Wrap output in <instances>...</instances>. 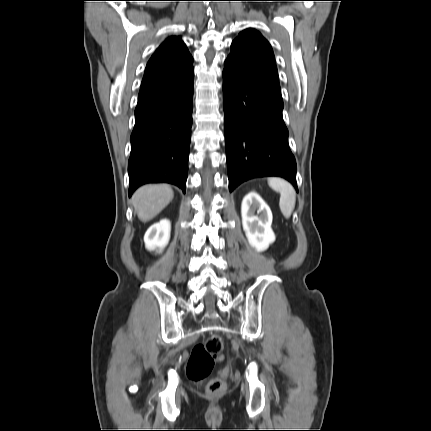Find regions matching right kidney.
Wrapping results in <instances>:
<instances>
[{"label":"right kidney","mask_w":431,"mask_h":431,"mask_svg":"<svg viewBox=\"0 0 431 431\" xmlns=\"http://www.w3.org/2000/svg\"><path fill=\"white\" fill-rule=\"evenodd\" d=\"M170 238V221L163 219L153 224L145 233L144 242L148 250L159 248L161 251Z\"/></svg>","instance_id":"ca27d5eb"}]
</instances>
